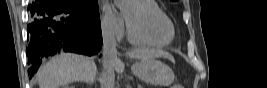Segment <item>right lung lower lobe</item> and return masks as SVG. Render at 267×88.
I'll return each instance as SVG.
<instances>
[{
	"label": "right lung lower lobe",
	"instance_id": "98d812e1",
	"mask_svg": "<svg viewBox=\"0 0 267 88\" xmlns=\"http://www.w3.org/2000/svg\"><path fill=\"white\" fill-rule=\"evenodd\" d=\"M29 10L33 17L26 48L30 76L38 70L43 57L61 51L91 56L101 49L99 11L79 10L68 0H34Z\"/></svg>",
	"mask_w": 267,
	"mask_h": 88
}]
</instances>
